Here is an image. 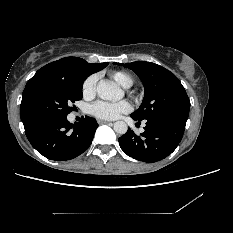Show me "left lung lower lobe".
<instances>
[{
  "mask_svg": "<svg viewBox=\"0 0 233 233\" xmlns=\"http://www.w3.org/2000/svg\"><path fill=\"white\" fill-rule=\"evenodd\" d=\"M185 125L181 122L160 119L146 120L145 131L140 136L128 129L118 139L119 145L128 156L134 159L147 163L157 162L175 150L182 139Z\"/></svg>",
  "mask_w": 233,
  "mask_h": 233,
  "instance_id": "left-lung-lower-lobe-1",
  "label": "left lung lower lobe"
}]
</instances>
